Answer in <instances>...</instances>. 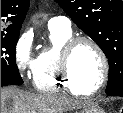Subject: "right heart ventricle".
Wrapping results in <instances>:
<instances>
[{
  "label": "right heart ventricle",
  "mask_w": 123,
  "mask_h": 113,
  "mask_svg": "<svg viewBox=\"0 0 123 113\" xmlns=\"http://www.w3.org/2000/svg\"><path fill=\"white\" fill-rule=\"evenodd\" d=\"M50 45L42 48L36 58L33 85L36 90L44 93H53L61 89L73 94L65 82L60 71L61 50L65 42L72 37L71 30L49 29Z\"/></svg>",
  "instance_id": "1"
}]
</instances>
